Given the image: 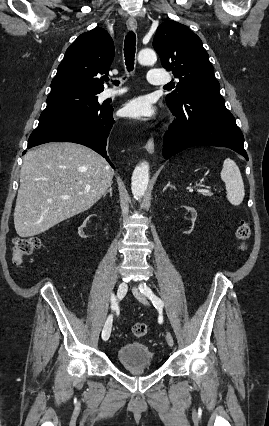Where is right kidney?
I'll return each mask as SVG.
<instances>
[{
  "instance_id": "obj_1",
  "label": "right kidney",
  "mask_w": 269,
  "mask_h": 426,
  "mask_svg": "<svg viewBox=\"0 0 269 426\" xmlns=\"http://www.w3.org/2000/svg\"><path fill=\"white\" fill-rule=\"evenodd\" d=\"M92 217H96V212H91V216L85 217V221L78 228V233L82 238H93L94 237L93 233H86L85 235L83 233V228L86 226V222H91V220L93 219Z\"/></svg>"
}]
</instances>
